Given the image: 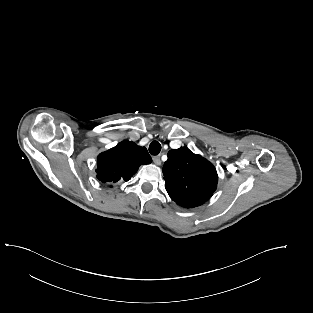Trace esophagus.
<instances>
[{
  "label": "esophagus",
  "instance_id": "esophagus-1",
  "mask_svg": "<svg viewBox=\"0 0 313 313\" xmlns=\"http://www.w3.org/2000/svg\"><path fill=\"white\" fill-rule=\"evenodd\" d=\"M153 162L156 164V165H160L161 164V159L159 156H154L153 157Z\"/></svg>",
  "mask_w": 313,
  "mask_h": 313
}]
</instances>
